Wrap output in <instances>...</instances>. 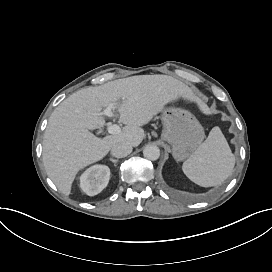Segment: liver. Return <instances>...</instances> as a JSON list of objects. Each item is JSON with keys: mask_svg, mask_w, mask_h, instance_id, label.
Returning a JSON list of instances; mask_svg holds the SVG:
<instances>
[{"mask_svg": "<svg viewBox=\"0 0 272 272\" xmlns=\"http://www.w3.org/2000/svg\"><path fill=\"white\" fill-rule=\"evenodd\" d=\"M179 96L195 100L187 85L168 75L132 76L73 93L48 120L43 138L47 175L68 196L80 169L101 160L116 143L137 147L145 136L141 126ZM113 102H119V122L125 126L118 134L98 138L90 130L105 125L99 113Z\"/></svg>", "mask_w": 272, "mask_h": 272, "instance_id": "liver-1", "label": "liver"}]
</instances>
